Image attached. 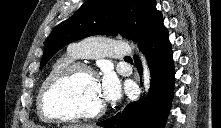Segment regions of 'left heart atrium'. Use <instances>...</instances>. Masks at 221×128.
<instances>
[{"instance_id":"left-heart-atrium-1","label":"left heart atrium","mask_w":221,"mask_h":128,"mask_svg":"<svg viewBox=\"0 0 221 128\" xmlns=\"http://www.w3.org/2000/svg\"><path fill=\"white\" fill-rule=\"evenodd\" d=\"M99 88L104 101H116L120 96V85L110 71H106L102 81L99 83Z\"/></svg>"}]
</instances>
